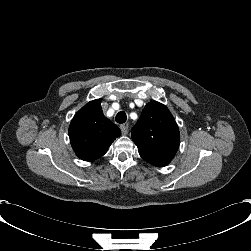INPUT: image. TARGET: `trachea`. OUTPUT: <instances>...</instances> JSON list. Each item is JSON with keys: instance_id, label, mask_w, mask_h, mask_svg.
Listing matches in <instances>:
<instances>
[{"instance_id": "obj_1", "label": "trachea", "mask_w": 251, "mask_h": 251, "mask_svg": "<svg viewBox=\"0 0 251 251\" xmlns=\"http://www.w3.org/2000/svg\"><path fill=\"white\" fill-rule=\"evenodd\" d=\"M116 122L119 124L125 123L127 120V115L124 111H120L117 113L116 118H115Z\"/></svg>"}]
</instances>
